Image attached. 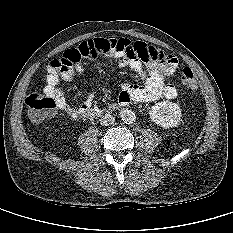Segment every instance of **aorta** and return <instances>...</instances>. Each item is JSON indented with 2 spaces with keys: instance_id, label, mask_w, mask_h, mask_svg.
Wrapping results in <instances>:
<instances>
[{
  "instance_id": "obj_1",
  "label": "aorta",
  "mask_w": 233,
  "mask_h": 233,
  "mask_svg": "<svg viewBox=\"0 0 233 233\" xmlns=\"http://www.w3.org/2000/svg\"><path fill=\"white\" fill-rule=\"evenodd\" d=\"M120 117L123 120V122L127 124L134 123L136 116L135 113L129 109H124L120 112Z\"/></svg>"
}]
</instances>
